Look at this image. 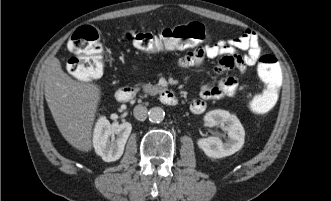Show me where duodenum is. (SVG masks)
I'll return each mask as SVG.
<instances>
[{"instance_id":"duodenum-1","label":"duodenum","mask_w":331,"mask_h":201,"mask_svg":"<svg viewBox=\"0 0 331 201\" xmlns=\"http://www.w3.org/2000/svg\"><path fill=\"white\" fill-rule=\"evenodd\" d=\"M135 94L136 90L133 86L123 85L116 89L115 98L119 102H126L132 99ZM159 97L161 102L165 105L173 106L176 105L178 102L176 95L166 88L160 91Z\"/></svg>"}]
</instances>
